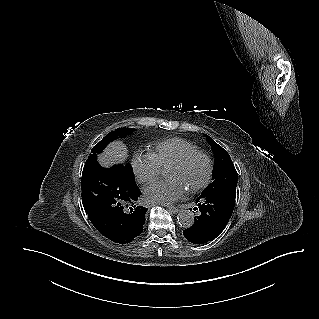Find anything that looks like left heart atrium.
Instances as JSON below:
<instances>
[{
  "label": "left heart atrium",
  "instance_id": "left-heart-atrium-1",
  "mask_svg": "<svg viewBox=\"0 0 319 319\" xmlns=\"http://www.w3.org/2000/svg\"><path fill=\"white\" fill-rule=\"evenodd\" d=\"M187 191L186 185L177 178L158 181L144 190L148 204H171L181 199Z\"/></svg>",
  "mask_w": 319,
  "mask_h": 319
}]
</instances>
